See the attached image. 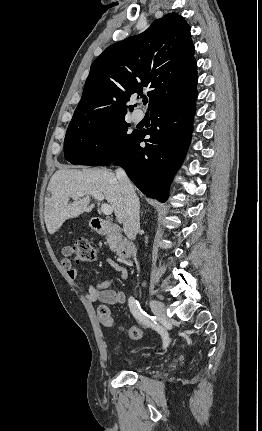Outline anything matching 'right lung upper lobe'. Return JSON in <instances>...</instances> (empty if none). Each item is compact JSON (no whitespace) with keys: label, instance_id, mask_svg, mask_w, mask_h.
<instances>
[{"label":"right lung upper lobe","instance_id":"obj_1","mask_svg":"<svg viewBox=\"0 0 262 431\" xmlns=\"http://www.w3.org/2000/svg\"><path fill=\"white\" fill-rule=\"evenodd\" d=\"M193 54L190 27L182 16L170 13L155 20L145 32L109 46L96 58L71 122L125 116V103L144 87L151 89V111L185 97L197 84Z\"/></svg>","mask_w":262,"mask_h":431}]
</instances>
